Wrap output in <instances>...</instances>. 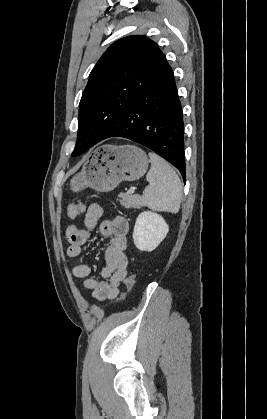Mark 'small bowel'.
<instances>
[{"label": "small bowel", "instance_id": "c3829d8e", "mask_svg": "<svg viewBox=\"0 0 267 419\" xmlns=\"http://www.w3.org/2000/svg\"><path fill=\"white\" fill-rule=\"evenodd\" d=\"M102 215V206L97 202L91 203L85 213L86 228L80 229L74 224L66 228V238L69 242L67 256L71 259H76L82 254L83 247L89 241L91 231L96 226L102 236L111 238L105 251L106 266L101 272L103 280L90 276L91 267L88 264L81 263L72 268V274L76 278L83 279L84 287L91 290L92 296L98 300L116 298L119 286L128 273V259L125 253L129 231L128 221L124 217L100 221Z\"/></svg>", "mask_w": 267, "mask_h": 419}]
</instances>
